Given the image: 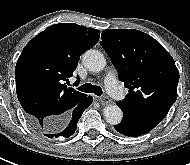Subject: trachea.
I'll use <instances>...</instances> for the list:
<instances>
[{"mask_svg":"<svg viewBox=\"0 0 190 165\" xmlns=\"http://www.w3.org/2000/svg\"><path fill=\"white\" fill-rule=\"evenodd\" d=\"M78 90L85 93H94L97 96H101L103 91L100 86L92 85L91 83H86L78 87Z\"/></svg>","mask_w":190,"mask_h":165,"instance_id":"obj_1","label":"trachea"}]
</instances>
